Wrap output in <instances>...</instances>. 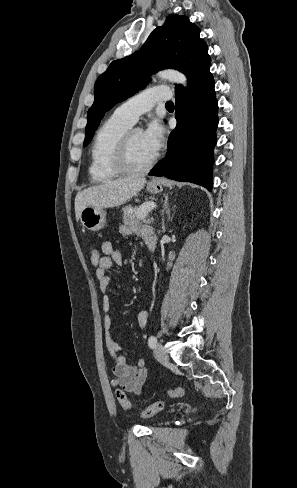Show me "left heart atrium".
<instances>
[{
  "instance_id": "left-heart-atrium-1",
  "label": "left heart atrium",
  "mask_w": 297,
  "mask_h": 488,
  "mask_svg": "<svg viewBox=\"0 0 297 488\" xmlns=\"http://www.w3.org/2000/svg\"><path fill=\"white\" fill-rule=\"evenodd\" d=\"M142 135L149 150L154 156L157 155L164 142V130L160 123L157 121L151 122L146 130L142 132Z\"/></svg>"
}]
</instances>
